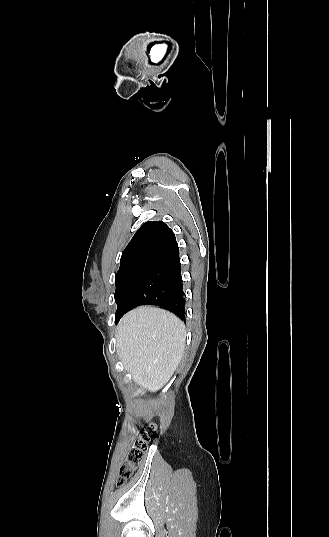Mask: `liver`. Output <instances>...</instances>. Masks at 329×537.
<instances>
[{
  "instance_id": "obj_1",
  "label": "liver",
  "mask_w": 329,
  "mask_h": 537,
  "mask_svg": "<svg viewBox=\"0 0 329 537\" xmlns=\"http://www.w3.org/2000/svg\"><path fill=\"white\" fill-rule=\"evenodd\" d=\"M184 323L156 307H137L117 327V354L135 384L154 393L171 378L185 348Z\"/></svg>"
}]
</instances>
